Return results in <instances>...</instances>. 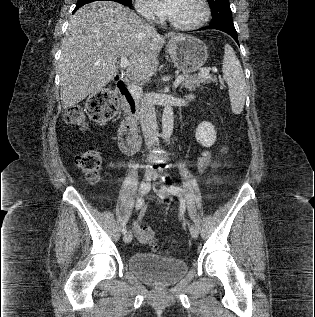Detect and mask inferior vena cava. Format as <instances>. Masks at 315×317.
I'll return each mask as SVG.
<instances>
[{"label":"inferior vena cava","mask_w":315,"mask_h":317,"mask_svg":"<svg viewBox=\"0 0 315 317\" xmlns=\"http://www.w3.org/2000/svg\"><path fill=\"white\" fill-rule=\"evenodd\" d=\"M146 18L149 15H144ZM140 124L144 134L145 144L150 150L158 141V126L153 101L149 95H146L141 102L140 107Z\"/></svg>","instance_id":"1"}]
</instances>
